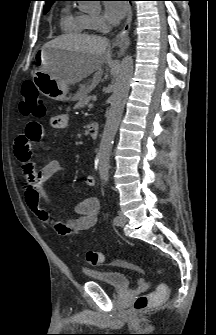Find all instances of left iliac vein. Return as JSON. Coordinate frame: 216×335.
<instances>
[{
	"label": "left iliac vein",
	"mask_w": 216,
	"mask_h": 335,
	"mask_svg": "<svg viewBox=\"0 0 216 335\" xmlns=\"http://www.w3.org/2000/svg\"><path fill=\"white\" fill-rule=\"evenodd\" d=\"M118 217H119V221L116 223V225L124 226L127 222L126 216L122 212H119Z\"/></svg>",
	"instance_id": "left-iliac-vein-1"
}]
</instances>
